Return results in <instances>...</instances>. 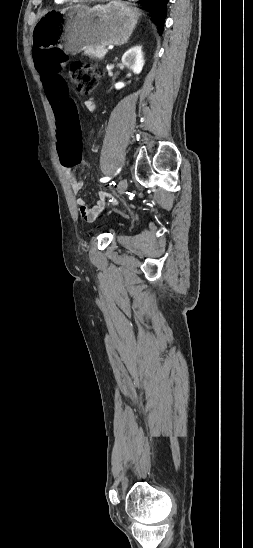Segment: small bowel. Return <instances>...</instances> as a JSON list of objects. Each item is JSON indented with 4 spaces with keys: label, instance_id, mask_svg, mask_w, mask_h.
<instances>
[{
    "label": "small bowel",
    "instance_id": "obj_1",
    "mask_svg": "<svg viewBox=\"0 0 253 548\" xmlns=\"http://www.w3.org/2000/svg\"><path fill=\"white\" fill-rule=\"evenodd\" d=\"M50 60H64V58L62 56H57V57H54ZM84 106L87 110L92 111L95 108V102L92 98L87 99L84 102ZM52 107H53V105H51V108ZM56 123H57V121H56ZM71 167L72 166H62V169L65 173V178H66V180H67V182H68V184L71 188L72 193L75 196H77V195H79V193H80V191L83 187V183L76 179L75 175L73 174V172L71 170ZM111 201L115 205L118 204V201L114 198H112ZM76 204L78 206V210H79V213H80L81 217L85 221H93L103 209V202L102 201H97V203L93 207H89L87 205L86 201L83 198L78 197L76 199Z\"/></svg>",
    "mask_w": 253,
    "mask_h": 548
}]
</instances>
